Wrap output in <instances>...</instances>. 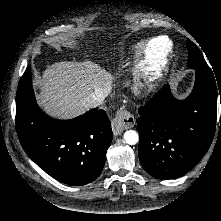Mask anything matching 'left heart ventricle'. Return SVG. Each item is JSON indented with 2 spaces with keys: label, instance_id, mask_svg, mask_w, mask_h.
Masks as SVG:
<instances>
[{
  "label": "left heart ventricle",
  "instance_id": "obj_1",
  "mask_svg": "<svg viewBox=\"0 0 221 221\" xmlns=\"http://www.w3.org/2000/svg\"><path fill=\"white\" fill-rule=\"evenodd\" d=\"M166 47L167 41L165 39H157L152 46V50L155 54H162Z\"/></svg>",
  "mask_w": 221,
  "mask_h": 221
}]
</instances>
